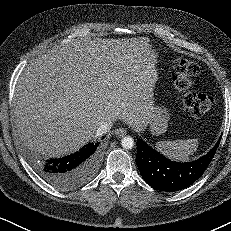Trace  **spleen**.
<instances>
[{"mask_svg": "<svg viewBox=\"0 0 231 231\" xmlns=\"http://www.w3.org/2000/svg\"><path fill=\"white\" fill-rule=\"evenodd\" d=\"M198 144L197 139L159 141L156 143V149L170 159L184 162L196 152Z\"/></svg>", "mask_w": 231, "mask_h": 231, "instance_id": "3e777b00", "label": "spleen"}]
</instances>
